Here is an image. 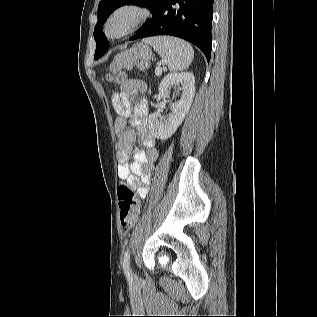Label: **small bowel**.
<instances>
[{
	"label": "small bowel",
	"instance_id": "1",
	"mask_svg": "<svg viewBox=\"0 0 317 317\" xmlns=\"http://www.w3.org/2000/svg\"><path fill=\"white\" fill-rule=\"evenodd\" d=\"M146 90L143 82L137 79H127L120 90L111 97L112 105L118 114L114 128L118 137L117 160L118 176L129 187L137 192L140 199L149 194L153 163L158 158L155 137L149 132L147 126L148 107L143 99L137 102V96ZM130 118V127L128 119ZM138 136L146 151L135 146ZM132 155L133 161L128 163Z\"/></svg>",
	"mask_w": 317,
	"mask_h": 317
}]
</instances>
